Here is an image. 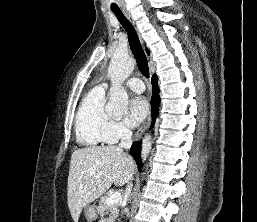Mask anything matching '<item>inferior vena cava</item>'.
Segmentation results:
<instances>
[{
	"instance_id": "1",
	"label": "inferior vena cava",
	"mask_w": 257,
	"mask_h": 222,
	"mask_svg": "<svg viewBox=\"0 0 257 222\" xmlns=\"http://www.w3.org/2000/svg\"><path fill=\"white\" fill-rule=\"evenodd\" d=\"M132 131L127 128H124L121 135V142L119 143L120 148L130 149L132 145ZM132 184H128L126 188V195L131 193Z\"/></svg>"
}]
</instances>
